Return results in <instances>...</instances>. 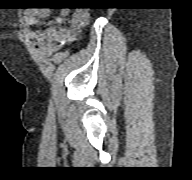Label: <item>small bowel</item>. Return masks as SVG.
Here are the masks:
<instances>
[{"label":"small bowel","mask_w":192,"mask_h":180,"mask_svg":"<svg viewBox=\"0 0 192 180\" xmlns=\"http://www.w3.org/2000/svg\"><path fill=\"white\" fill-rule=\"evenodd\" d=\"M49 14L50 10L47 8L29 9L24 13V20L26 25L33 26L39 22V19L47 17ZM67 14V11L61 10L55 19L56 26L42 31H26V37L34 40L37 48L45 54L58 50L65 42L78 40L87 24V14L75 12L67 26H61Z\"/></svg>","instance_id":"1"}]
</instances>
